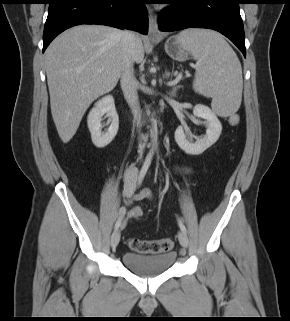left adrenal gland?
<instances>
[{"label": "left adrenal gland", "mask_w": 290, "mask_h": 321, "mask_svg": "<svg viewBox=\"0 0 290 321\" xmlns=\"http://www.w3.org/2000/svg\"><path fill=\"white\" fill-rule=\"evenodd\" d=\"M165 75H166V78H167L169 76V73L166 71ZM180 88H181V86H174L172 91H171V95L176 97L177 90L180 89Z\"/></svg>", "instance_id": "obj_1"}]
</instances>
